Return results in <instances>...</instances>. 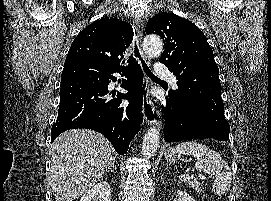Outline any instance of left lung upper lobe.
<instances>
[{"mask_svg":"<svg viewBox=\"0 0 271 201\" xmlns=\"http://www.w3.org/2000/svg\"><path fill=\"white\" fill-rule=\"evenodd\" d=\"M145 31L164 41L160 62L178 80V89L170 93L196 114L207 134L228 140L230 127L224 116L219 69L203 32L192 22L168 12L153 16Z\"/></svg>","mask_w":271,"mask_h":201,"instance_id":"obj_1","label":"left lung upper lobe"}]
</instances>
